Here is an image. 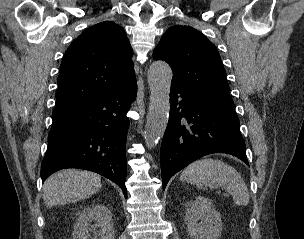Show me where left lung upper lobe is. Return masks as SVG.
Segmentation results:
<instances>
[{
  "label": "left lung upper lobe",
  "mask_w": 304,
  "mask_h": 239,
  "mask_svg": "<svg viewBox=\"0 0 304 239\" xmlns=\"http://www.w3.org/2000/svg\"><path fill=\"white\" fill-rule=\"evenodd\" d=\"M172 68V86L205 100L234 108L225 69L216 47L190 26L170 27L153 52Z\"/></svg>",
  "instance_id": "left-lung-upper-lobe-1"
}]
</instances>
